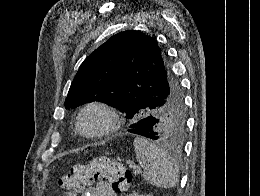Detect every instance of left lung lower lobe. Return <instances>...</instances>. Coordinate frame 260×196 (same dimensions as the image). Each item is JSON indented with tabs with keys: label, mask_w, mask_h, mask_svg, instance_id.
<instances>
[{
	"label": "left lung lower lobe",
	"mask_w": 260,
	"mask_h": 196,
	"mask_svg": "<svg viewBox=\"0 0 260 196\" xmlns=\"http://www.w3.org/2000/svg\"><path fill=\"white\" fill-rule=\"evenodd\" d=\"M131 129L128 131L134 134L142 135L144 137L155 140L156 132H155V121L151 118H144L130 126Z\"/></svg>",
	"instance_id": "left-lung-lower-lobe-1"
}]
</instances>
